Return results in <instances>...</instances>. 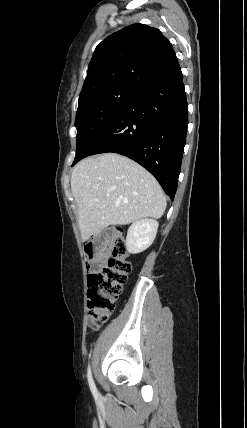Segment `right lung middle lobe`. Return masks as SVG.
Instances as JSON below:
<instances>
[{"label": "right lung middle lobe", "instance_id": "1", "mask_svg": "<svg viewBox=\"0 0 247 428\" xmlns=\"http://www.w3.org/2000/svg\"><path fill=\"white\" fill-rule=\"evenodd\" d=\"M140 90L129 86H113L79 96L75 126L80 157L97 135L123 110Z\"/></svg>", "mask_w": 247, "mask_h": 428}]
</instances>
